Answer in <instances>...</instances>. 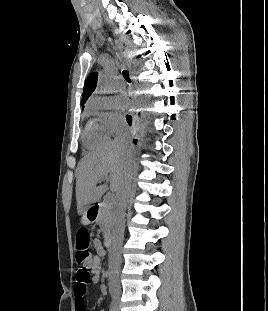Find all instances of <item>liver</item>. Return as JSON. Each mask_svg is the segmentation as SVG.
I'll use <instances>...</instances> for the list:
<instances>
[{
    "instance_id": "obj_1",
    "label": "liver",
    "mask_w": 268,
    "mask_h": 311,
    "mask_svg": "<svg viewBox=\"0 0 268 311\" xmlns=\"http://www.w3.org/2000/svg\"><path fill=\"white\" fill-rule=\"evenodd\" d=\"M129 149L123 143L114 141L103 149L88 154L78 165L76 177V200L78 214L87 206L98 202L108 190L106 185L96 186L105 177L110 178V190L118 192L125 181L130 160Z\"/></svg>"
}]
</instances>
